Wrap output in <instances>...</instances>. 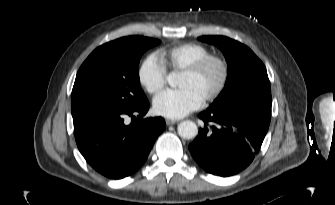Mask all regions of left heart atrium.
I'll use <instances>...</instances> for the list:
<instances>
[{"mask_svg": "<svg viewBox=\"0 0 335 205\" xmlns=\"http://www.w3.org/2000/svg\"><path fill=\"white\" fill-rule=\"evenodd\" d=\"M204 97L191 87L166 90L153 100V109L157 115L178 119L200 108Z\"/></svg>", "mask_w": 335, "mask_h": 205, "instance_id": "1", "label": "left heart atrium"}]
</instances>
